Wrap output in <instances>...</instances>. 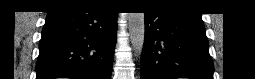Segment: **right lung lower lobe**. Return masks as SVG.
<instances>
[{
	"instance_id": "obj_1",
	"label": "right lung lower lobe",
	"mask_w": 255,
	"mask_h": 79,
	"mask_svg": "<svg viewBox=\"0 0 255 79\" xmlns=\"http://www.w3.org/2000/svg\"><path fill=\"white\" fill-rule=\"evenodd\" d=\"M117 13L101 5L48 12L39 44L36 79H110Z\"/></svg>"
}]
</instances>
